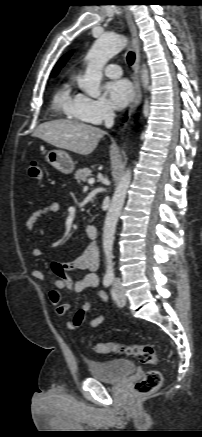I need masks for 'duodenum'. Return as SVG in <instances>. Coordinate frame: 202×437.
<instances>
[{"mask_svg":"<svg viewBox=\"0 0 202 437\" xmlns=\"http://www.w3.org/2000/svg\"><path fill=\"white\" fill-rule=\"evenodd\" d=\"M86 233L89 238L95 239L98 236V227L94 222H90L86 226Z\"/></svg>","mask_w":202,"mask_h":437,"instance_id":"410a0bca","label":"duodenum"}]
</instances>
